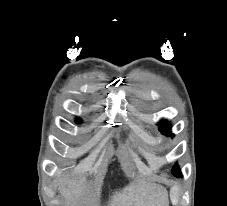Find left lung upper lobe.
<instances>
[{
  "label": "left lung upper lobe",
  "instance_id": "obj_1",
  "mask_svg": "<svg viewBox=\"0 0 227 206\" xmlns=\"http://www.w3.org/2000/svg\"><path fill=\"white\" fill-rule=\"evenodd\" d=\"M166 127H167L166 121H162V122L160 123V125H159V130H160V131L165 130V134H166L167 136H172V137H173L174 135L171 133L170 127L167 128V129H166ZM172 173H173V175H175V176H176L178 173H181L177 164L173 167Z\"/></svg>",
  "mask_w": 227,
  "mask_h": 206
}]
</instances>
